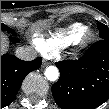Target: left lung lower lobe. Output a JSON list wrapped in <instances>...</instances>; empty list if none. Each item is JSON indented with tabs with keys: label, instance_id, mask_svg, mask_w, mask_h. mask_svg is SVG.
Returning <instances> with one entry per match:
<instances>
[{
	"label": "left lung lower lobe",
	"instance_id": "1",
	"mask_svg": "<svg viewBox=\"0 0 109 109\" xmlns=\"http://www.w3.org/2000/svg\"><path fill=\"white\" fill-rule=\"evenodd\" d=\"M52 94L62 109H94L109 98V39L95 42L78 60L56 63Z\"/></svg>",
	"mask_w": 109,
	"mask_h": 109
}]
</instances>
